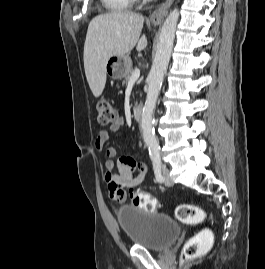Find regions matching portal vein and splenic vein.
<instances>
[{"mask_svg":"<svg viewBox=\"0 0 265 269\" xmlns=\"http://www.w3.org/2000/svg\"><path fill=\"white\" fill-rule=\"evenodd\" d=\"M140 77V70L139 69H135V71L132 73L130 80H129V84H133L135 83Z\"/></svg>","mask_w":265,"mask_h":269,"instance_id":"obj_1","label":"portal vein and splenic vein"}]
</instances>
